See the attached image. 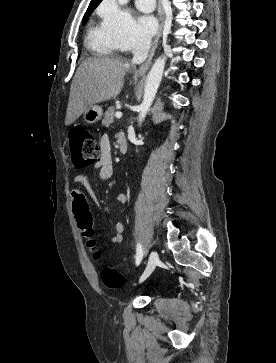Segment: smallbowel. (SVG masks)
Segmentation results:
<instances>
[{"label": "small bowel", "mask_w": 276, "mask_h": 363, "mask_svg": "<svg viewBox=\"0 0 276 363\" xmlns=\"http://www.w3.org/2000/svg\"><path fill=\"white\" fill-rule=\"evenodd\" d=\"M100 159L96 162L95 168L98 170V175L101 180H110L114 174V167L112 164L111 156V143L107 135H104L100 140ZM73 181L79 186L71 190V200L73 211L77 215V219L83 215H87L91 221V225L88 229H81L83 236L89 240L90 237L94 238L95 230L92 224V215L90 213V204L86 193L87 179L83 174H76L73 177ZM117 201L121 204H127L129 199L124 193H119L116 197ZM106 215L110 212L107 208H103ZM115 234L111 238L112 243H121L123 241V234L125 231V226L121 222H117L114 225Z\"/></svg>", "instance_id": "c3829d8e"}]
</instances>
